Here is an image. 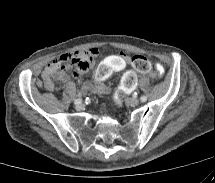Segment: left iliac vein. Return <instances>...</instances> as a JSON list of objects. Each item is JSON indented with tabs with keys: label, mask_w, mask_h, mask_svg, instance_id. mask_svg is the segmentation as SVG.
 I'll return each mask as SVG.
<instances>
[{
	"label": "left iliac vein",
	"mask_w": 215,
	"mask_h": 183,
	"mask_svg": "<svg viewBox=\"0 0 215 183\" xmlns=\"http://www.w3.org/2000/svg\"><path fill=\"white\" fill-rule=\"evenodd\" d=\"M126 101L132 105H138L140 103L139 99H137V98H128V99H126Z\"/></svg>",
	"instance_id": "left-iliac-vein-1"
}]
</instances>
